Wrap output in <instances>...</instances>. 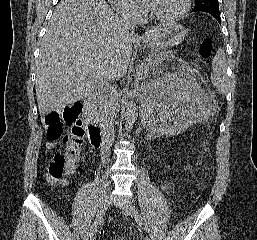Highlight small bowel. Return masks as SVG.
<instances>
[{
    "label": "small bowel",
    "instance_id": "1",
    "mask_svg": "<svg viewBox=\"0 0 257 240\" xmlns=\"http://www.w3.org/2000/svg\"><path fill=\"white\" fill-rule=\"evenodd\" d=\"M60 144H61V141H48L46 144V149L51 150Z\"/></svg>",
    "mask_w": 257,
    "mask_h": 240
}]
</instances>
